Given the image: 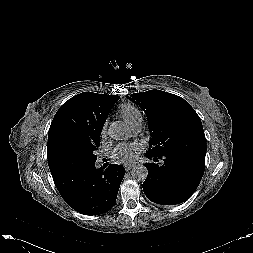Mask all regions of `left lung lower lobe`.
Returning a JSON list of instances; mask_svg holds the SVG:
<instances>
[{"mask_svg":"<svg viewBox=\"0 0 253 253\" xmlns=\"http://www.w3.org/2000/svg\"><path fill=\"white\" fill-rule=\"evenodd\" d=\"M148 175L143 183L147 198L160 205H175L189 199L197 189L205 169L206 151L180 149L162 155L145 154ZM161 159L160 164L156 163Z\"/></svg>","mask_w":253,"mask_h":253,"instance_id":"left-lung-lower-lobe-1","label":"left lung lower lobe"}]
</instances>
